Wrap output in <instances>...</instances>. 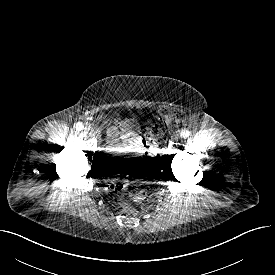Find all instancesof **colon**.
I'll list each match as a JSON object with an SVG mask.
<instances>
[{
	"mask_svg": "<svg viewBox=\"0 0 275 275\" xmlns=\"http://www.w3.org/2000/svg\"><path fill=\"white\" fill-rule=\"evenodd\" d=\"M160 113L165 119L173 122H182L186 118L185 111L179 107L166 106L161 109ZM157 136V131L152 130L145 139L146 146L151 147L154 141L157 139ZM112 187L114 190L115 202L119 204L127 213L134 212L133 207L127 202L128 198H130L134 202H142L147 197V193L144 189H138L134 192H129L127 174L125 171L122 170L116 173L115 181Z\"/></svg>",
	"mask_w": 275,
	"mask_h": 275,
	"instance_id": "obj_1",
	"label": "colon"
}]
</instances>
